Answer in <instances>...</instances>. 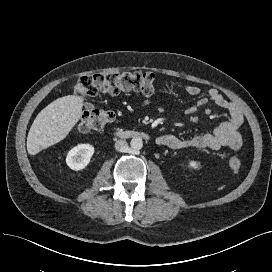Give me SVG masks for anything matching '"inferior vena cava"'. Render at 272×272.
<instances>
[{
    "instance_id": "602c4592",
    "label": "inferior vena cava",
    "mask_w": 272,
    "mask_h": 272,
    "mask_svg": "<svg viewBox=\"0 0 272 272\" xmlns=\"http://www.w3.org/2000/svg\"><path fill=\"white\" fill-rule=\"evenodd\" d=\"M114 147L119 152H125L128 149V144L125 140H118L115 142Z\"/></svg>"
}]
</instances>
